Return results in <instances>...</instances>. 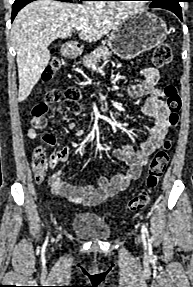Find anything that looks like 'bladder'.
<instances>
[{"instance_id": "31cf9c89", "label": "bladder", "mask_w": 193, "mask_h": 287, "mask_svg": "<svg viewBox=\"0 0 193 287\" xmlns=\"http://www.w3.org/2000/svg\"><path fill=\"white\" fill-rule=\"evenodd\" d=\"M71 228L84 239L105 240L111 236L108 224L93 212L77 213L72 220Z\"/></svg>"}]
</instances>
